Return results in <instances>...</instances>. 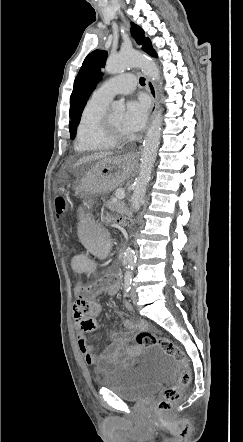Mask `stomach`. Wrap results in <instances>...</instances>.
I'll return each mask as SVG.
<instances>
[{
	"label": "stomach",
	"mask_w": 243,
	"mask_h": 442,
	"mask_svg": "<svg viewBox=\"0 0 243 442\" xmlns=\"http://www.w3.org/2000/svg\"><path fill=\"white\" fill-rule=\"evenodd\" d=\"M135 164L136 159L130 154L103 159L81 178L75 192L81 195L110 192L130 176Z\"/></svg>",
	"instance_id": "1"
}]
</instances>
